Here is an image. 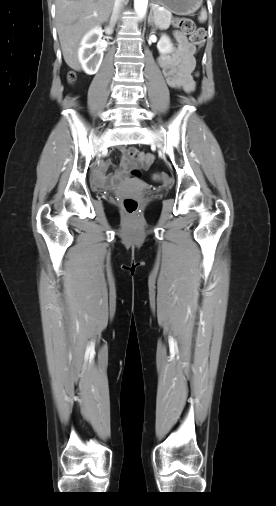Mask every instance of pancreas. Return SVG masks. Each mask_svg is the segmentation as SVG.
I'll use <instances>...</instances> for the list:
<instances>
[{
	"label": "pancreas",
	"mask_w": 276,
	"mask_h": 506,
	"mask_svg": "<svg viewBox=\"0 0 276 506\" xmlns=\"http://www.w3.org/2000/svg\"><path fill=\"white\" fill-rule=\"evenodd\" d=\"M155 23L160 29H167L172 23V14L166 9H154Z\"/></svg>",
	"instance_id": "pancreas-1"
}]
</instances>
